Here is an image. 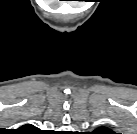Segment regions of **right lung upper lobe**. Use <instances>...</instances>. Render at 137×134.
I'll return each instance as SVG.
<instances>
[{"label":"right lung upper lobe","mask_w":137,"mask_h":134,"mask_svg":"<svg viewBox=\"0 0 137 134\" xmlns=\"http://www.w3.org/2000/svg\"><path fill=\"white\" fill-rule=\"evenodd\" d=\"M20 130L22 132H35V131H38V129L35 126L31 125V124H26Z\"/></svg>","instance_id":"cb5924a9"}]
</instances>
